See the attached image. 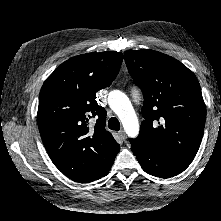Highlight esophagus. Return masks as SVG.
<instances>
[{
	"mask_svg": "<svg viewBox=\"0 0 221 221\" xmlns=\"http://www.w3.org/2000/svg\"><path fill=\"white\" fill-rule=\"evenodd\" d=\"M118 135L122 140H126V138H127V135L124 130L119 131Z\"/></svg>",
	"mask_w": 221,
	"mask_h": 221,
	"instance_id": "esophagus-1",
	"label": "esophagus"
}]
</instances>
